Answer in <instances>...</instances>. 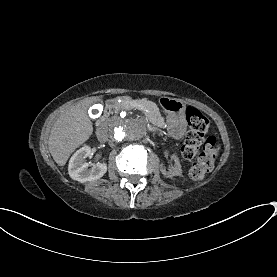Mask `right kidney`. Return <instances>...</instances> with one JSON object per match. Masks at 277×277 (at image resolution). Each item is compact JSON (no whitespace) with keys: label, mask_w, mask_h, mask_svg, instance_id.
<instances>
[{"label":"right kidney","mask_w":277,"mask_h":277,"mask_svg":"<svg viewBox=\"0 0 277 277\" xmlns=\"http://www.w3.org/2000/svg\"><path fill=\"white\" fill-rule=\"evenodd\" d=\"M92 156L91 148L83 146L77 150L70 158L68 165L69 176L81 183L93 181L101 178L107 172V165L105 163L90 164L85 161L87 157Z\"/></svg>","instance_id":"ca27d5eb"}]
</instances>
